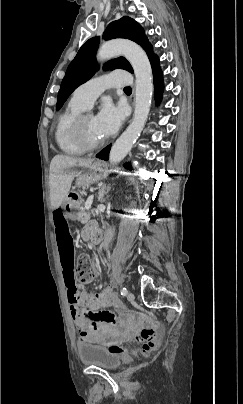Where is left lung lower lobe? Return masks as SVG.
I'll list each match as a JSON object with an SVG mask.
<instances>
[{
  "mask_svg": "<svg viewBox=\"0 0 243 404\" xmlns=\"http://www.w3.org/2000/svg\"><path fill=\"white\" fill-rule=\"evenodd\" d=\"M151 65H152L154 85H155V100H156V103H159L161 100V97H162V92H163V77H162V71H161L160 65H159V59L157 56L152 59ZM110 148H111V145L107 146L106 148L101 150L96 155V157L103 159V160H108ZM124 166L127 169H131L130 165H128V164H126Z\"/></svg>",
  "mask_w": 243,
  "mask_h": 404,
  "instance_id": "0a47b994",
  "label": "left lung lower lobe"
}]
</instances>
